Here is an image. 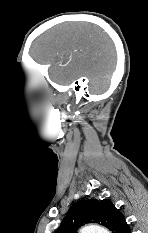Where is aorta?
Masks as SVG:
<instances>
[{"label":"aorta","instance_id":"obj_1","mask_svg":"<svg viewBox=\"0 0 148 233\" xmlns=\"http://www.w3.org/2000/svg\"><path fill=\"white\" fill-rule=\"evenodd\" d=\"M79 233H110L106 228L97 224H88L83 226Z\"/></svg>","mask_w":148,"mask_h":233}]
</instances>
